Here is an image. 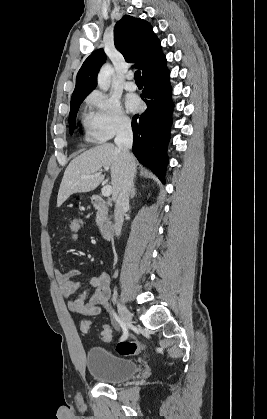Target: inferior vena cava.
Segmentation results:
<instances>
[{"mask_svg":"<svg viewBox=\"0 0 267 419\" xmlns=\"http://www.w3.org/2000/svg\"><path fill=\"white\" fill-rule=\"evenodd\" d=\"M114 142L121 152L123 163V173L118 187L114 210L115 235L120 236L124 214L129 208V196L136 171L135 160L130 153L133 144V132L130 121L125 120L120 122Z\"/></svg>","mask_w":267,"mask_h":419,"instance_id":"602c4592","label":"inferior vena cava"}]
</instances>
